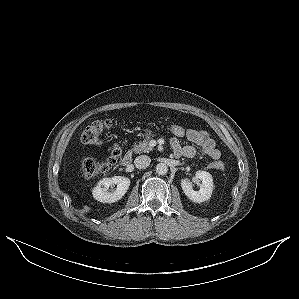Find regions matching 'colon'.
Masks as SVG:
<instances>
[{"label": "colon", "mask_w": 299, "mask_h": 299, "mask_svg": "<svg viewBox=\"0 0 299 299\" xmlns=\"http://www.w3.org/2000/svg\"><path fill=\"white\" fill-rule=\"evenodd\" d=\"M116 121L107 119L103 121H94L89 124L82 132L81 140L84 144L90 146H97L102 143L101 135L105 130L113 127ZM168 132L177 139L186 138L189 129L178 125L170 124L167 126ZM121 154V149L118 146L111 148V155L105 161H100L93 157H83L81 159V170L85 177L91 178L100 174L106 173L109 168L117 161ZM216 169L222 170L224 168L223 163L217 162L214 164Z\"/></svg>", "instance_id": "5ec220e1"}]
</instances>
